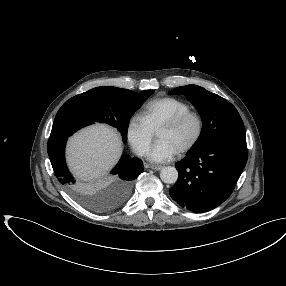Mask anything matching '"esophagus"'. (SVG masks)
<instances>
[{"mask_svg": "<svg viewBox=\"0 0 286 286\" xmlns=\"http://www.w3.org/2000/svg\"><path fill=\"white\" fill-rule=\"evenodd\" d=\"M149 167L156 171L163 169V166H160V165H150Z\"/></svg>", "mask_w": 286, "mask_h": 286, "instance_id": "1", "label": "esophagus"}]
</instances>
